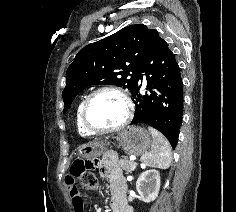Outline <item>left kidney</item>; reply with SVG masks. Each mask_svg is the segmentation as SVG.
Here are the masks:
<instances>
[{"label":"left kidney","instance_id":"5707ae66","mask_svg":"<svg viewBox=\"0 0 236 212\" xmlns=\"http://www.w3.org/2000/svg\"><path fill=\"white\" fill-rule=\"evenodd\" d=\"M136 189L143 202L154 201L160 189V174L157 170L144 171L136 182Z\"/></svg>","mask_w":236,"mask_h":212}]
</instances>
